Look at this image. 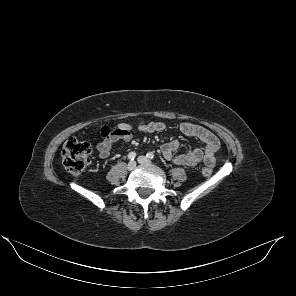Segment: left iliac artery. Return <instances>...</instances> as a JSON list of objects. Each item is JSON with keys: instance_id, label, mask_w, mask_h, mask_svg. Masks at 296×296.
Segmentation results:
<instances>
[{"instance_id": "obj_1", "label": "left iliac artery", "mask_w": 296, "mask_h": 296, "mask_svg": "<svg viewBox=\"0 0 296 296\" xmlns=\"http://www.w3.org/2000/svg\"><path fill=\"white\" fill-rule=\"evenodd\" d=\"M147 158L154 159V154L152 152L147 153Z\"/></svg>"}]
</instances>
